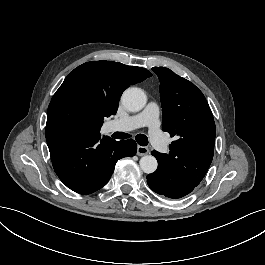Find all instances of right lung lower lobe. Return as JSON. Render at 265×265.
I'll return each instance as SVG.
<instances>
[{"label": "right lung lower lobe", "mask_w": 265, "mask_h": 265, "mask_svg": "<svg viewBox=\"0 0 265 265\" xmlns=\"http://www.w3.org/2000/svg\"><path fill=\"white\" fill-rule=\"evenodd\" d=\"M46 140L53 168L71 190L90 194L110 179L116 162L135 155L134 140L115 141L100 133H89L61 127L46 128Z\"/></svg>", "instance_id": "1"}]
</instances>
